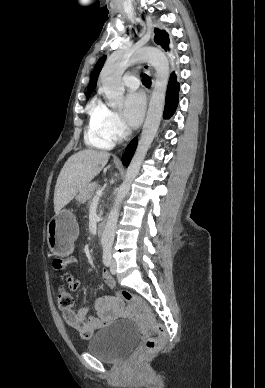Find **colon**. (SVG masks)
Wrapping results in <instances>:
<instances>
[{
	"label": "colon",
	"instance_id": "5ec220e1",
	"mask_svg": "<svg viewBox=\"0 0 265 388\" xmlns=\"http://www.w3.org/2000/svg\"><path fill=\"white\" fill-rule=\"evenodd\" d=\"M116 296L130 304L137 306L143 314V319L156 333L155 337H148L144 342V348L147 352L157 351L167 339L166 327L155 320L153 310L148 301L129 290H120L116 292ZM57 302L60 308L68 309L74 303L73 296L70 291L59 288L57 293Z\"/></svg>",
	"mask_w": 265,
	"mask_h": 388
}]
</instances>
